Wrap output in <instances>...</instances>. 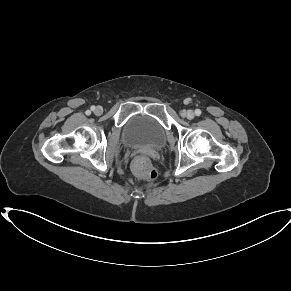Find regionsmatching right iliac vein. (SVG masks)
Here are the masks:
<instances>
[{
    "label": "right iliac vein",
    "mask_w": 291,
    "mask_h": 291,
    "mask_svg": "<svg viewBox=\"0 0 291 291\" xmlns=\"http://www.w3.org/2000/svg\"><path fill=\"white\" fill-rule=\"evenodd\" d=\"M102 108L100 106L96 107L95 110H94V113L96 115H101L102 114Z\"/></svg>",
    "instance_id": "obj_1"
}]
</instances>
